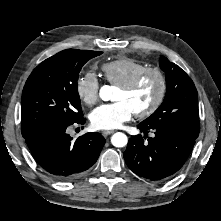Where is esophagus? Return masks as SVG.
I'll return each mask as SVG.
<instances>
[{"instance_id": "esophagus-1", "label": "esophagus", "mask_w": 221, "mask_h": 221, "mask_svg": "<svg viewBox=\"0 0 221 221\" xmlns=\"http://www.w3.org/2000/svg\"><path fill=\"white\" fill-rule=\"evenodd\" d=\"M112 133H114V130H107V131H103V132H102V135H103V136H108V135H110V134H112Z\"/></svg>"}]
</instances>
